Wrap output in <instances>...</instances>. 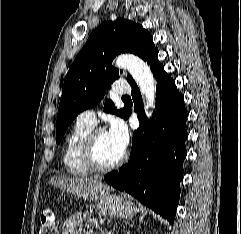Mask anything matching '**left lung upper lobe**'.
<instances>
[{"label":"left lung upper lobe","mask_w":241,"mask_h":234,"mask_svg":"<svg viewBox=\"0 0 241 234\" xmlns=\"http://www.w3.org/2000/svg\"><path fill=\"white\" fill-rule=\"evenodd\" d=\"M157 51L151 34L141 25L126 19L105 21L89 36L70 67L63 85L57 114L56 141L60 143L70 123L82 111L94 107L106 89L119 78L112 60L121 53H132L147 61ZM127 81L133 82L128 75ZM103 110L127 119L129 109L116 110L106 100Z\"/></svg>","instance_id":"5c2ea615"}]
</instances>
